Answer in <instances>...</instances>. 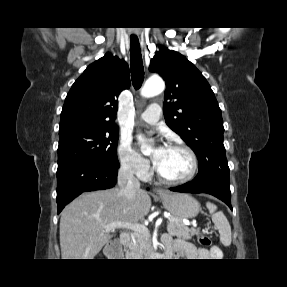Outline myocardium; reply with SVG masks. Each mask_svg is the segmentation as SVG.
Returning a JSON list of instances; mask_svg holds the SVG:
<instances>
[{
  "label": "myocardium",
  "instance_id": "1",
  "mask_svg": "<svg viewBox=\"0 0 287 287\" xmlns=\"http://www.w3.org/2000/svg\"><path fill=\"white\" fill-rule=\"evenodd\" d=\"M168 148H173V149H182L184 151H186L191 159V170L190 172L179 179H169L166 178L157 168L156 164H154V170L157 174L158 179L165 183V184H169V185H181V184H185L189 181H191L197 174L198 169H199V159L198 156L196 154V152L187 144L185 143H179V142H174V143H170L168 146Z\"/></svg>",
  "mask_w": 287,
  "mask_h": 287
}]
</instances>
